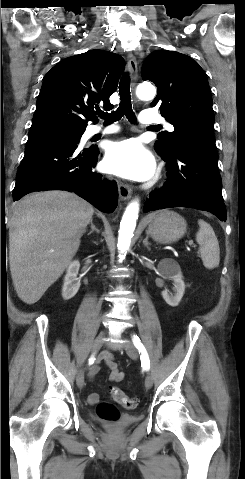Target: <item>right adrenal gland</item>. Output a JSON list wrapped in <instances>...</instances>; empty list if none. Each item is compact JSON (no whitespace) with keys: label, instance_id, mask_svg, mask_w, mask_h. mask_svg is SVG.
<instances>
[{"label":"right adrenal gland","instance_id":"2a0ac1e0","mask_svg":"<svg viewBox=\"0 0 245 479\" xmlns=\"http://www.w3.org/2000/svg\"><path fill=\"white\" fill-rule=\"evenodd\" d=\"M90 224H91V230L90 232L88 233V235L92 234L94 231L99 233V230L95 227V225L93 224V220L90 221Z\"/></svg>","mask_w":245,"mask_h":479}]
</instances>
